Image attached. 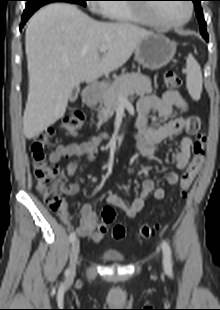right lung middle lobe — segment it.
<instances>
[{
	"mask_svg": "<svg viewBox=\"0 0 220 310\" xmlns=\"http://www.w3.org/2000/svg\"><path fill=\"white\" fill-rule=\"evenodd\" d=\"M26 8H37L41 7L47 3L55 2V1H65L69 3H76L85 6L86 5V0H26Z\"/></svg>",
	"mask_w": 220,
	"mask_h": 310,
	"instance_id": "right-lung-middle-lobe-1",
	"label": "right lung middle lobe"
}]
</instances>
